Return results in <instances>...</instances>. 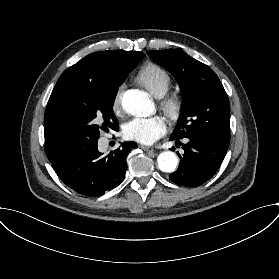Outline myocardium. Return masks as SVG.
<instances>
[{
	"label": "myocardium",
	"mask_w": 279,
	"mask_h": 279,
	"mask_svg": "<svg viewBox=\"0 0 279 279\" xmlns=\"http://www.w3.org/2000/svg\"><path fill=\"white\" fill-rule=\"evenodd\" d=\"M162 107L171 120H177L181 114L182 102L176 95H167L162 99Z\"/></svg>",
	"instance_id": "1"
}]
</instances>
